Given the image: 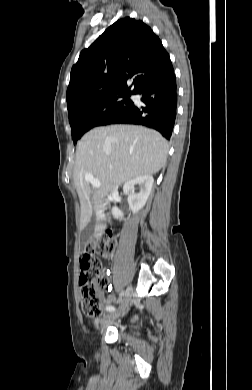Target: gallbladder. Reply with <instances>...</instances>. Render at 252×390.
Here are the masks:
<instances>
[{
  "mask_svg": "<svg viewBox=\"0 0 252 390\" xmlns=\"http://www.w3.org/2000/svg\"><path fill=\"white\" fill-rule=\"evenodd\" d=\"M96 219L95 216H92L90 222L87 224V226L81 231V239L84 242H87L95 229Z\"/></svg>",
  "mask_w": 252,
  "mask_h": 390,
  "instance_id": "obj_1",
  "label": "gallbladder"
}]
</instances>
